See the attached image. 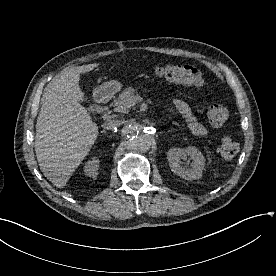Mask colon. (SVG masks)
Masks as SVG:
<instances>
[{
	"label": "colon",
	"instance_id": "5ec220e1",
	"mask_svg": "<svg viewBox=\"0 0 276 276\" xmlns=\"http://www.w3.org/2000/svg\"><path fill=\"white\" fill-rule=\"evenodd\" d=\"M156 76L169 82L188 85L193 87H201L204 79L201 72L191 65H165L155 69ZM209 122L214 126L223 125L228 117V107L222 102H213L207 111ZM239 151V143L230 136L221 139L219 145V153L224 159H232Z\"/></svg>",
	"mask_w": 276,
	"mask_h": 276
}]
</instances>
